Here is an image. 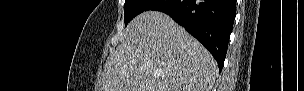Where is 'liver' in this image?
<instances>
[{
  "label": "liver",
  "mask_w": 304,
  "mask_h": 91,
  "mask_svg": "<svg viewBox=\"0 0 304 91\" xmlns=\"http://www.w3.org/2000/svg\"><path fill=\"white\" fill-rule=\"evenodd\" d=\"M218 66L168 15L146 11L106 61L100 91H210Z\"/></svg>",
  "instance_id": "6515ba94"
}]
</instances>
